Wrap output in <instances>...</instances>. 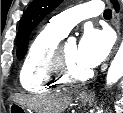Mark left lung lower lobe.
Instances as JSON below:
<instances>
[{"label":"left lung lower lobe","instance_id":"left-lung-lower-lobe-1","mask_svg":"<svg viewBox=\"0 0 123 113\" xmlns=\"http://www.w3.org/2000/svg\"><path fill=\"white\" fill-rule=\"evenodd\" d=\"M111 2L114 4L115 10L118 11L119 10V4H118V2L116 0H111Z\"/></svg>","mask_w":123,"mask_h":113}]
</instances>
